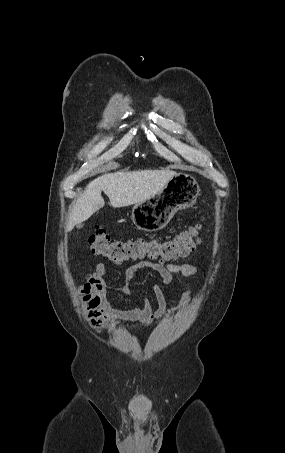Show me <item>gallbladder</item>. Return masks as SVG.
I'll return each mask as SVG.
<instances>
[{"label":"gallbladder","mask_w":285,"mask_h":453,"mask_svg":"<svg viewBox=\"0 0 285 453\" xmlns=\"http://www.w3.org/2000/svg\"><path fill=\"white\" fill-rule=\"evenodd\" d=\"M76 227L80 229L83 227V224H77Z\"/></svg>","instance_id":"gallbladder-1"}]
</instances>
